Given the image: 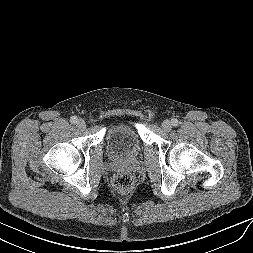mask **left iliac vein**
I'll return each instance as SVG.
<instances>
[{
	"label": "left iliac vein",
	"mask_w": 253,
	"mask_h": 253,
	"mask_svg": "<svg viewBox=\"0 0 253 253\" xmlns=\"http://www.w3.org/2000/svg\"><path fill=\"white\" fill-rule=\"evenodd\" d=\"M162 129H163L165 132L171 131V129H172V123H171L169 120H164V121L162 122Z\"/></svg>",
	"instance_id": "obj_1"
}]
</instances>
